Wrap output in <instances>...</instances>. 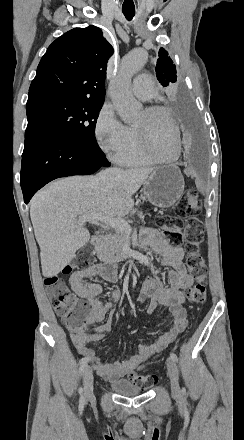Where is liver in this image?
<instances>
[{
  "label": "liver",
  "mask_w": 244,
  "mask_h": 440,
  "mask_svg": "<svg viewBox=\"0 0 244 440\" xmlns=\"http://www.w3.org/2000/svg\"><path fill=\"white\" fill-rule=\"evenodd\" d=\"M154 170L107 168L96 176L58 178L37 192L30 202V218L44 278L57 276L89 242V230L76 222L77 216H127L133 210V194Z\"/></svg>",
  "instance_id": "obj_1"
}]
</instances>
